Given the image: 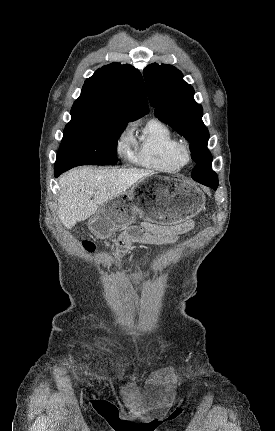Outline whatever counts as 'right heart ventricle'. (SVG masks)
<instances>
[{
	"label": "right heart ventricle",
	"instance_id": "right-heart-ventricle-1",
	"mask_svg": "<svg viewBox=\"0 0 275 431\" xmlns=\"http://www.w3.org/2000/svg\"><path fill=\"white\" fill-rule=\"evenodd\" d=\"M138 143L134 161L146 168L174 172L186 162L181 142L170 127L159 119L153 118L147 122Z\"/></svg>",
	"mask_w": 275,
	"mask_h": 431
}]
</instances>
